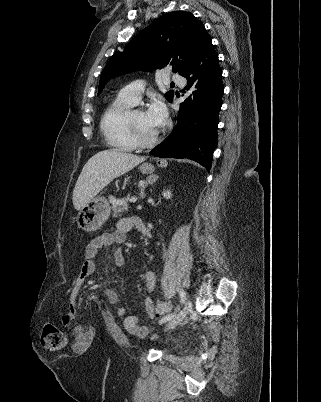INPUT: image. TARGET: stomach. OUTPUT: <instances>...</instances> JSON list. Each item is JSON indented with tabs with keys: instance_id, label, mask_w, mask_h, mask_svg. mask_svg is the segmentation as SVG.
I'll return each mask as SVG.
<instances>
[{
	"instance_id": "0dacf381",
	"label": "stomach",
	"mask_w": 321,
	"mask_h": 402,
	"mask_svg": "<svg viewBox=\"0 0 321 402\" xmlns=\"http://www.w3.org/2000/svg\"><path fill=\"white\" fill-rule=\"evenodd\" d=\"M165 165V161H159V166ZM140 171L144 174H150L154 171V167L150 163H143L140 166ZM110 212L111 207L106 198L94 197L79 210L77 215L78 227L87 232L96 231L107 221Z\"/></svg>"
}]
</instances>
